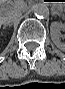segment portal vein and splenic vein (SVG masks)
Masks as SVG:
<instances>
[{"instance_id": "1", "label": "portal vein and splenic vein", "mask_w": 65, "mask_h": 89, "mask_svg": "<svg viewBox=\"0 0 65 89\" xmlns=\"http://www.w3.org/2000/svg\"><path fill=\"white\" fill-rule=\"evenodd\" d=\"M17 4H18L19 6H21V7H23V6L25 5L22 0L17 1Z\"/></svg>"}]
</instances>
